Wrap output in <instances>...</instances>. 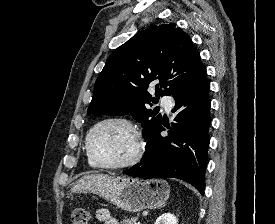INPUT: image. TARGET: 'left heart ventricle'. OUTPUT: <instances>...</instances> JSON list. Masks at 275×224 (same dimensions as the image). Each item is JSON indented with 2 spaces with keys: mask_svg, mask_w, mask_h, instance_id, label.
<instances>
[{
  "mask_svg": "<svg viewBox=\"0 0 275 224\" xmlns=\"http://www.w3.org/2000/svg\"><path fill=\"white\" fill-rule=\"evenodd\" d=\"M95 155L104 163L116 164L128 160L135 151L131 130L121 123H107L99 127L91 138Z\"/></svg>",
  "mask_w": 275,
  "mask_h": 224,
  "instance_id": "obj_1",
  "label": "left heart ventricle"
}]
</instances>
